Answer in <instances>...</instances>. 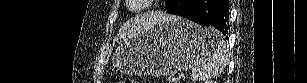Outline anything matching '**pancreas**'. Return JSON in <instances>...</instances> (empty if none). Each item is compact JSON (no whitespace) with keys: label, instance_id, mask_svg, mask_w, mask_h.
I'll return each mask as SVG.
<instances>
[{"label":"pancreas","instance_id":"pancreas-1","mask_svg":"<svg viewBox=\"0 0 307 83\" xmlns=\"http://www.w3.org/2000/svg\"><path fill=\"white\" fill-rule=\"evenodd\" d=\"M171 83H177V81H176V80H173V81H171Z\"/></svg>","mask_w":307,"mask_h":83}]
</instances>
